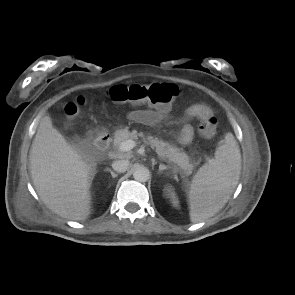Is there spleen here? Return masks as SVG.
<instances>
[{
  "instance_id": "obj_1",
  "label": "spleen",
  "mask_w": 295,
  "mask_h": 295,
  "mask_svg": "<svg viewBox=\"0 0 295 295\" xmlns=\"http://www.w3.org/2000/svg\"><path fill=\"white\" fill-rule=\"evenodd\" d=\"M241 174V154L234 136L226 134L215 156L199 168L188 191L190 220L199 223L215 215L234 192Z\"/></svg>"
}]
</instances>
